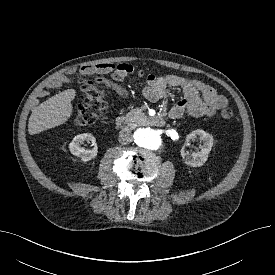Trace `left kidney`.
<instances>
[{"label": "left kidney", "instance_id": "obj_1", "mask_svg": "<svg viewBox=\"0 0 275 275\" xmlns=\"http://www.w3.org/2000/svg\"><path fill=\"white\" fill-rule=\"evenodd\" d=\"M197 137H199V139L202 141V145H200L199 151L190 153L189 151H186L184 147L181 149V156L183 161L190 167L202 166L207 161L208 154L213 146L212 135L201 129H197L188 134L186 137V142Z\"/></svg>", "mask_w": 275, "mask_h": 275}]
</instances>
